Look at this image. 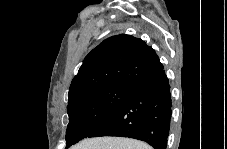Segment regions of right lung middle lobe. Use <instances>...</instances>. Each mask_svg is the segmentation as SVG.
<instances>
[{
  "label": "right lung middle lobe",
  "mask_w": 227,
  "mask_h": 149,
  "mask_svg": "<svg viewBox=\"0 0 227 149\" xmlns=\"http://www.w3.org/2000/svg\"><path fill=\"white\" fill-rule=\"evenodd\" d=\"M133 87L110 84L88 92L67 106L66 147L89 137L126 101Z\"/></svg>",
  "instance_id": "1"
}]
</instances>
